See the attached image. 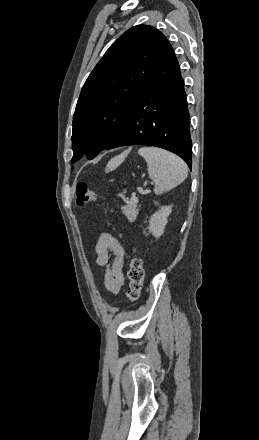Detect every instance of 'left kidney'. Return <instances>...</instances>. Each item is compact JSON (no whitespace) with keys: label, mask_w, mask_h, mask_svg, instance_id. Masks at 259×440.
I'll return each instance as SVG.
<instances>
[{"label":"left kidney","mask_w":259,"mask_h":440,"mask_svg":"<svg viewBox=\"0 0 259 440\" xmlns=\"http://www.w3.org/2000/svg\"><path fill=\"white\" fill-rule=\"evenodd\" d=\"M172 212V206H162L149 219V232L156 238H159L163 233L168 222L167 218Z\"/></svg>","instance_id":"obj_1"}]
</instances>
